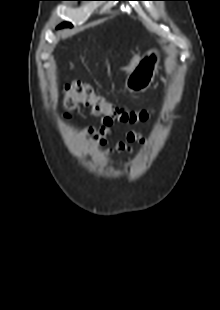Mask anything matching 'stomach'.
<instances>
[{"instance_id":"stomach-1","label":"stomach","mask_w":220,"mask_h":310,"mask_svg":"<svg viewBox=\"0 0 220 310\" xmlns=\"http://www.w3.org/2000/svg\"><path fill=\"white\" fill-rule=\"evenodd\" d=\"M158 49L147 51L132 69L125 81V88L130 92H142L154 81L160 63Z\"/></svg>"}]
</instances>
